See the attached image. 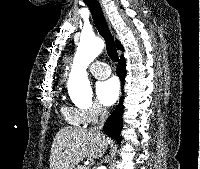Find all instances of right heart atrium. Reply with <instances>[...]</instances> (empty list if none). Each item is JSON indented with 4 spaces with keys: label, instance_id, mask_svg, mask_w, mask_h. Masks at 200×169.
<instances>
[{
    "label": "right heart atrium",
    "instance_id": "right-heart-atrium-1",
    "mask_svg": "<svg viewBox=\"0 0 200 169\" xmlns=\"http://www.w3.org/2000/svg\"><path fill=\"white\" fill-rule=\"evenodd\" d=\"M83 125H91L105 116V109L98 103H92L86 107L78 108Z\"/></svg>",
    "mask_w": 200,
    "mask_h": 169
}]
</instances>
